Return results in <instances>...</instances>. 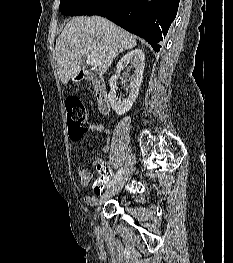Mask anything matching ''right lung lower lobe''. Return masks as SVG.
I'll return each mask as SVG.
<instances>
[{
    "mask_svg": "<svg viewBox=\"0 0 233 263\" xmlns=\"http://www.w3.org/2000/svg\"><path fill=\"white\" fill-rule=\"evenodd\" d=\"M180 0H106L94 5L87 15H100L144 38L159 51L160 42L176 17Z\"/></svg>",
    "mask_w": 233,
    "mask_h": 263,
    "instance_id": "obj_1",
    "label": "right lung lower lobe"
}]
</instances>
